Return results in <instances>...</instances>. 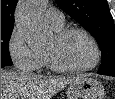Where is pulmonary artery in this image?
<instances>
[{"label":"pulmonary artery","instance_id":"1","mask_svg":"<svg viewBox=\"0 0 115 99\" xmlns=\"http://www.w3.org/2000/svg\"><path fill=\"white\" fill-rule=\"evenodd\" d=\"M44 19L49 26L55 29L62 28L65 21L63 13L54 8H48L45 11Z\"/></svg>","mask_w":115,"mask_h":99}]
</instances>
